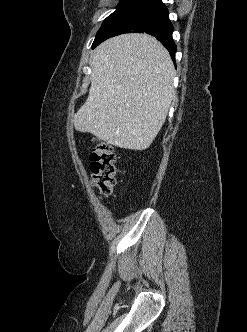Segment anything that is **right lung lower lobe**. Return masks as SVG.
I'll list each match as a JSON object with an SVG mask.
<instances>
[{"instance_id": "98d812e1", "label": "right lung lower lobe", "mask_w": 247, "mask_h": 332, "mask_svg": "<svg viewBox=\"0 0 247 332\" xmlns=\"http://www.w3.org/2000/svg\"><path fill=\"white\" fill-rule=\"evenodd\" d=\"M173 25L168 9L161 0H152L126 14L110 25L100 36L95 48L108 38L123 33H147L156 37L168 49L175 61L176 45L172 39Z\"/></svg>"}]
</instances>
